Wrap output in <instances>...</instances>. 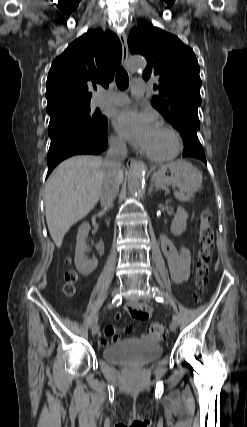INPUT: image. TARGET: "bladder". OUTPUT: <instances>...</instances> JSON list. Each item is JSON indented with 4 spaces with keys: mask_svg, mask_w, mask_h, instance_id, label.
<instances>
[{
    "mask_svg": "<svg viewBox=\"0 0 247 427\" xmlns=\"http://www.w3.org/2000/svg\"><path fill=\"white\" fill-rule=\"evenodd\" d=\"M162 354V347L153 342L139 340H124L103 349L105 360L120 364L142 366L157 358Z\"/></svg>",
    "mask_w": 247,
    "mask_h": 427,
    "instance_id": "31cf9c89",
    "label": "bladder"
}]
</instances>
